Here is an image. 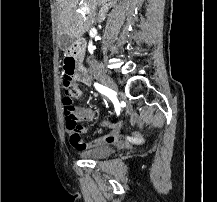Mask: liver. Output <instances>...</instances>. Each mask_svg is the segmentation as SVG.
Returning a JSON list of instances; mask_svg holds the SVG:
<instances>
[{
  "label": "liver",
  "mask_w": 217,
  "mask_h": 202,
  "mask_svg": "<svg viewBox=\"0 0 217 202\" xmlns=\"http://www.w3.org/2000/svg\"><path fill=\"white\" fill-rule=\"evenodd\" d=\"M110 0H56L58 10V32L60 36L67 34L70 38L80 40L88 32L91 24H96V8L99 4ZM77 6L85 8L77 12ZM89 14V16H88Z\"/></svg>",
  "instance_id": "6515ba94"
}]
</instances>
